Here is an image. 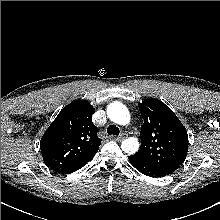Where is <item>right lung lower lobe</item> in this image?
Wrapping results in <instances>:
<instances>
[{
    "label": "right lung lower lobe",
    "instance_id": "1",
    "mask_svg": "<svg viewBox=\"0 0 220 220\" xmlns=\"http://www.w3.org/2000/svg\"><path fill=\"white\" fill-rule=\"evenodd\" d=\"M84 165H85V164H84ZM84 165H80V166L74 167V168H72L71 170H68L67 172L62 173V174H66V173H71V172H74V171H76V170L80 169V168H81L82 166H84Z\"/></svg>",
    "mask_w": 220,
    "mask_h": 220
}]
</instances>
